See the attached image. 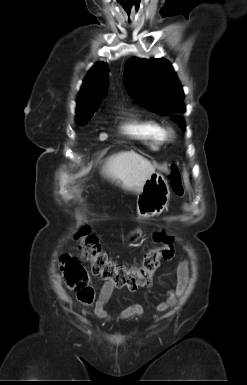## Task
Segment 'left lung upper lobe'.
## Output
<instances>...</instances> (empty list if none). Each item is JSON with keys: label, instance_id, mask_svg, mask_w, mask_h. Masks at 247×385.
I'll return each mask as SVG.
<instances>
[{"label": "left lung upper lobe", "instance_id": "obj_1", "mask_svg": "<svg viewBox=\"0 0 247 385\" xmlns=\"http://www.w3.org/2000/svg\"><path fill=\"white\" fill-rule=\"evenodd\" d=\"M124 82L130 96L155 113L185 112L182 86L173 67L164 59H129L125 65ZM173 120L185 130L181 119Z\"/></svg>", "mask_w": 247, "mask_h": 385}]
</instances>
